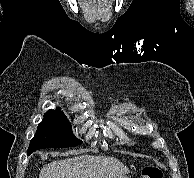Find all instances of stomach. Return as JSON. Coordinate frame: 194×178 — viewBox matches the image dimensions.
Segmentation results:
<instances>
[{"mask_svg": "<svg viewBox=\"0 0 194 178\" xmlns=\"http://www.w3.org/2000/svg\"><path fill=\"white\" fill-rule=\"evenodd\" d=\"M120 178H129V177H127V176H122V177H120Z\"/></svg>", "mask_w": 194, "mask_h": 178, "instance_id": "obj_1", "label": "stomach"}]
</instances>
